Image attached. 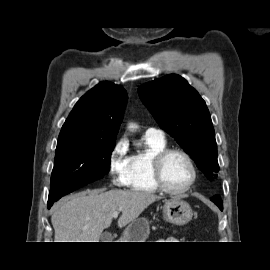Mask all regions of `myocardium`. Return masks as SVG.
Segmentation results:
<instances>
[{"instance_id": "obj_1", "label": "myocardium", "mask_w": 270, "mask_h": 270, "mask_svg": "<svg viewBox=\"0 0 270 270\" xmlns=\"http://www.w3.org/2000/svg\"><path fill=\"white\" fill-rule=\"evenodd\" d=\"M173 153L181 154L187 160L191 168V172H192V177H191L190 182L186 186L179 189L170 188L165 183L163 174H162V166H163L164 160L170 154H173ZM150 170H151V176H152L153 182L158 187V189H160L161 191L165 193L173 194V195H179V194H183L189 191L196 183L197 176H198L197 167L192 156L186 150L182 148H178V147L165 148L159 151L158 153H156L151 160Z\"/></svg>"}]
</instances>
